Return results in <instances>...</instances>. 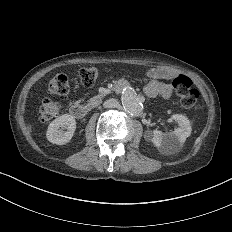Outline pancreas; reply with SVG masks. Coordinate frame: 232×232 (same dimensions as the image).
<instances>
[{"mask_svg": "<svg viewBox=\"0 0 232 232\" xmlns=\"http://www.w3.org/2000/svg\"><path fill=\"white\" fill-rule=\"evenodd\" d=\"M102 97H103V95L94 96L93 98H91L89 100L87 106L90 108H94V107L98 106L102 102V100H101Z\"/></svg>", "mask_w": 232, "mask_h": 232, "instance_id": "1", "label": "pancreas"}]
</instances>
